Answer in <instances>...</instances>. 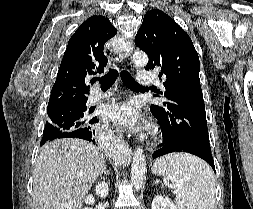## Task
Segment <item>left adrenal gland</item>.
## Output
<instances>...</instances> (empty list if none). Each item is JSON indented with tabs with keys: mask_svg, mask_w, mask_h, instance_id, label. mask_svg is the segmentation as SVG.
<instances>
[{
	"mask_svg": "<svg viewBox=\"0 0 253 209\" xmlns=\"http://www.w3.org/2000/svg\"><path fill=\"white\" fill-rule=\"evenodd\" d=\"M159 183V180H156L155 182H154V185H157Z\"/></svg>",
	"mask_w": 253,
	"mask_h": 209,
	"instance_id": "left-adrenal-gland-1",
	"label": "left adrenal gland"
}]
</instances>
